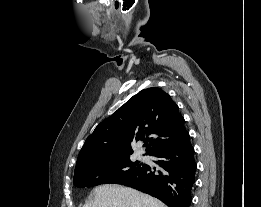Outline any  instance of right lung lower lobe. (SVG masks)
I'll return each mask as SVG.
<instances>
[{
    "instance_id": "right-lung-lower-lobe-1",
    "label": "right lung lower lobe",
    "mask_w": 261,
    "mask_h": 207,
    "mask_svg": "<svg viewBox=\"0 0 261 207\" xmlns=\"http://www.w3.org/2000/svg\"><path fill=\"white\" fill-rule=\"evenodd\" d=\"M152 156L158 157L155 163L159 169L145 165L139 172L117 184L150 194L169 207H190L197 169L190 137L181 144L158 151Z\"/></svg>"
}]
</instances>
